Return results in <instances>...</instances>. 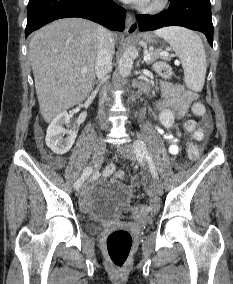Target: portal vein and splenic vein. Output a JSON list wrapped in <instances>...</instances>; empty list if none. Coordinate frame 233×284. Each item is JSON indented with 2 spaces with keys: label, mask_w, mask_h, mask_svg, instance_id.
Masks as SVG:
<instances>
[{
  "label": "portal vein and splenic vein",
  "mask_w": 233,
  "mask_h": 284,
  "mask_svg": "<svg viewBox=\"0 0 233 284\" xmlns=\"http://www.w3.org/2000/svg\"><path fill=\"white\" fill-rule=\"evenodd\" d=\"M161 55L163 57H167L168 56V53L166 52H161ZM151 59V55L149 53H145L144 55V61L145 62H148L149 60ZM175 64L178 65L179 64V61H175ZM87 70L86 69H82V73H85Z\"/></svg>",
  "instance_id": "obj_1"
}]
</instances>
